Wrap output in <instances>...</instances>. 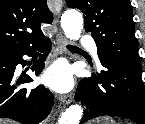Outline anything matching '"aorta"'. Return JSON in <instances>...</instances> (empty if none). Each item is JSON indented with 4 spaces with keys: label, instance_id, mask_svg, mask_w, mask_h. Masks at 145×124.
<instances>
[{
    "label": "aorta",
    "instance_id": "obj_1",
    "mask_svg": "<svg viewBox=\"0 0 145 124\" xmlns=\"http://www.w3.org/2000/svg\"><path fill=\"white\" fill-rule=\"evenodd\" d=\"M61 26L70 40H77L83 29V17L79 11L67 10L61 17ZM83 115V108L80 105H71L60 117L58 124H79Z\"/></svg>",
    "mask_w": 145,
    "mask_h": 124
}]
</instances>
